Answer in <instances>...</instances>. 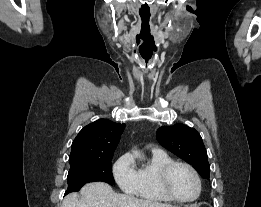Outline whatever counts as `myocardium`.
<instances>
[{"label": "myocardium", "mask_w": 261, "mask_h": 207, "mask_svg": "<svg viewBox=\"0 0 261 207\" xmlns=\"http://www.w3.org/2000/svg\"><path fill=\"white\" fill-rule=\"evenodd\" d=\"M178 166H182V167L186 168L187 170H189L196 181L197 192H196L195 196H193L192 198H189V199L179 198V197L175 196L170 189V186H169L170 174H171L172 170ZM158 182H159V187H160L162 193L169 200H171L173 202L181 203V204L191 203V202L196 201L199 198L201 191H202V182H201V178H200L198 172L192 165H190L189 163L183 162V161H172V162L164 165L161 168V170L159 171Z\"/></svg>", "instance_id": "obj_1"}]
</instances>
